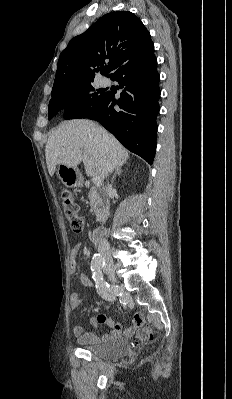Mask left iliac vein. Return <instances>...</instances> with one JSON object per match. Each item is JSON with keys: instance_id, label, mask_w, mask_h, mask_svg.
I'll return each instance as SVG.
<instances>
[{"instance_id": "obj_1", "label": "left iliac vein", "mask_w": 232, "mask_h": 399, "mask_svg": "<svg viewBox=\"0 0 232 399\" xmlns=\"http://www.w3.org/2000/svg\"><path fill=\"white\" fill-rule=\"evenodd\" d=\"M103 272H104V273H108V272H109V269H108V268H104V269H103Z\"/></svg>"}]
</instances>
